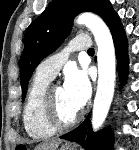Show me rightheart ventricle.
<instances>
[{
    "mask_svg": "<svg viewBox=\"0 0 139 150\" xmlns=\"http://www.w3.org/2000/svg\"><path fill=\"white\" fill-rule=\"evenodd\" d=\"M50 79L35 75L23 108V125L27 134L34 139L52 136L56 130L49 127L42 117V102Z\"/></svg>",
    "mask_w": 139,
    "mask_h": 150,
    "instance_id": "right-heart-ventricle-1",
    "label": "right heart ventricle"
}]
</instances>
